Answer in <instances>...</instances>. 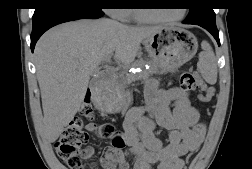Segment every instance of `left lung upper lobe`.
<instances>
[{
  "label": "left lung upper lobe",
  "instance_id": "1",
  "mask_svg": "<svg viewBox=\"0 0 252 169\" xmlns=\"http://www.w3.org/2000/svg\"><path fill=\"white\" fill-rule=\"evenodd\" d=\"M194 7L190 8V12L184 23L186 24H216L215 12L210 6L212 0H192Z\"/></svg>",
  "mask_w": 252,
  "mask_h": 169
}]
</instances>
